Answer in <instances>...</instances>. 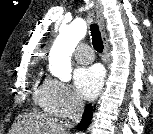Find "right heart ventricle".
<instances>
[{"mask_svg": "<svg viewBox=\"0 0 153 134\" xmlns=\"http://www.w3.org/2000/svg\"><path fill=\"white\" fill-rule=\"evenodd\" d=\"M44 86H45V81H36L34 85V100L39 103L40 105L42 104L43 97H44Z\"/></svg>", "mask_w": 153, "mask_h": 134, "instance_id": "1", "label": "right heart ventricle"}]
</instances>
